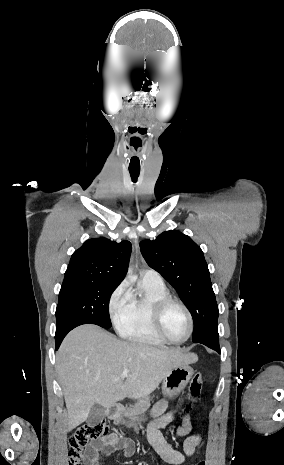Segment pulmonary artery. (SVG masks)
I'll use <instances>...</instances> for the list:
<instances>
[{
	"instance_id": "e3ab8cb5",
	"label": "pulmonary artery",
	"mask_w": 284,
	"mask_h": 465,
	"mask_svg": "<svg viewBox=\"0 0 284 465\" xmlns=\"http://www.w3.org/2000/svg\"><path fill=\"white\" fill-rule=\"evenodd\" d=\"M140 276L142 280L150 282V283H162L163 282L161 275L152 269L141 270Z\"/></svg>"
}]
</instances>
